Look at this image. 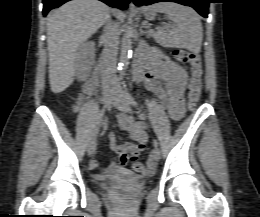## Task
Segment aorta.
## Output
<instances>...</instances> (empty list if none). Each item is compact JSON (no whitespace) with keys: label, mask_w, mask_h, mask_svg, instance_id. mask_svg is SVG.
I'll list each match as a JSON object with an SVG mask.
<instances>
[{"label":"aorta","mask_w":260,"mask_h":217,"mask_svg":"<svg viewBox=\"0 0 260 217\" xmlns=\"http://www.w3.org/2000/svg\"><path fill=\"white\" fill-rule=\"evenodd\" d=\"M131 48H132V32L129 27H126L121 42V54H120V63H119L120 69L127 64L128 60L132 56Z\"/></svg>","instance_id":"obj_1"}]
</instances>
